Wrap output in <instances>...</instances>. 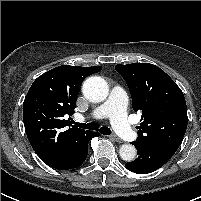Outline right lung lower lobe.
<instances>
[{
    "label": "right lung lower lobe",
    "mask_w": 201,
    "mask_h": 201,
    "mask_svg": "<svg viewBox=\"0 0 201 201\" xmlns=\"http://www.w3.org/2000/svg\"><path fill=\"white\" fill-rule=\"evenodd\" d=\"M95 136H99V134L97 132L88 131L77 145L75 151L67 159L49 166L59 170H68L79 167L87 157L90 139Z\"/></svg>",
    "instance_id": "1"
}]
</instances>
